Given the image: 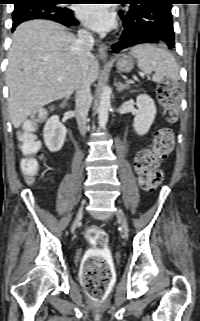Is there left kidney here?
Wrapping results in <instances>:
<instances>
[{
  "mask_svg": "<svg viewBox=\"0 0 200 321\" xmlns=\"http://www.w3.org/2000/svg\"><path fill=\"white\" fill-rule=\"evenodd\" d=\"M136 106L138 112L134 118L133 127L138 135H145L154 122L156 106L153 99L146 94L137 97Z\"/></svg>",
  "mask_w": 200,
  "mask_h": 321,
  "instance_id": "left-kidney-1",
  "label": "left kidney"
}]
</instances>
